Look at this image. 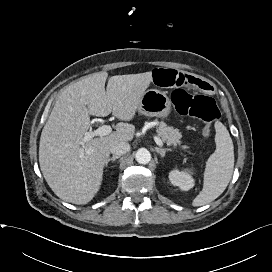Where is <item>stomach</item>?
<instances>
[{"instance_id":"stomach-1","label":"stomach","mask_w":272,"mask_h":272,"mask_svg":"<svg viewBox=\"0 0 272 272\" xmlns=\"http://www.w3.org/2000/svg\"><path fill=\"white\" fill-rule=\"evenodd\" d=\"M138 111L149 117H167L171 112V101L164 92L149 89L142 95Z\"/></svg>"}]
</instances>
